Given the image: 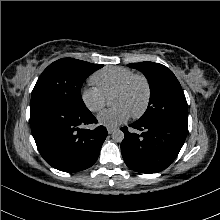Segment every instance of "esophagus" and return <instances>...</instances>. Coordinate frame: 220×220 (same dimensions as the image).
Masks as SVG:
<instances>
[{"mask_svg":"<svg viewBox=\"0 0 220 220\" xmlns=\"http://www.w3.org/2000/svg\"><path fill=\"white\" fill-rule=\"evenodd\" d=\"M115 130H116V128H113V127H108L107 128V131H108L109 134L113 133Z\"/></svg>","mask_w":220,"mask_h":220,"instance_id":"obj_1","label":"esophagus"}]
</instances>
